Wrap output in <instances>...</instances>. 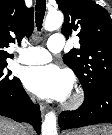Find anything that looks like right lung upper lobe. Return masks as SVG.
<instances>
[{"label":"right lung upper lobe","instance_id":"obj_1","mask_svg":"<svg viewBox=\"0 0 112 135\" xmlns=\"http://www.w3.org/2000/svg\"><path fill=\"white\" fill-rule=\"evenodd\" d=\"M33 20V8H27L24 0H0V61L13 57L6 51L10 43L32 34Z\"/></svg>","mask_w":112,"mask_h":135}]
</instances>
